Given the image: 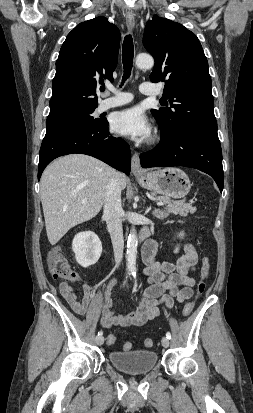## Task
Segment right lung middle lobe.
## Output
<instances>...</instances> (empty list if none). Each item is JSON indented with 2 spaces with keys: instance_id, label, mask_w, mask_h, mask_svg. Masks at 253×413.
Masks as SVG:
<instances>
[{
  "instance_id": "right-lung-middle-lobe-1",
  "label": "right lung middle lobe",
  "mask_w": 253,
  "mask_h": 413,
  "mask_svg": "<svg viewBox=\"0 0 253 413\" xmlns=\"http://www.w3.org/2000/svg\"><path fill=\"white\" fill-rule=\"evenodd\" d=\"M95 108L96 107L73 110L48 116L46 120V135L60 131L95 129L101 127L105 121L92 116Z\"/></svg>"
}]
</instances>
